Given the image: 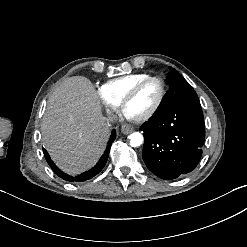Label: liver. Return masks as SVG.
<instances>
[{
  "instance_id": "liver-1",
  "label": "liver",
  "mask_w": 247,
  "mask_h": 247,
  "mask_svg": "<svg viewBox=\"0 0 247 247\" xmlns=\"http://www.w3.org/2000/svg\"><path fill=\"white\" fill-rule=\"evenodd\" d=\"M41 131L43 145L65 173L80 174L98 161L110 130L89 79L74 76L56 88L48 100Z\"/></svg>"
}]
</instances>
